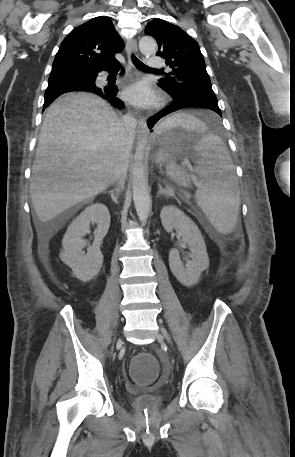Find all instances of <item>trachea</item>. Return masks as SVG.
<instances>
[{
    "label": "trachea",
    "mask_w": 295,
    "mask_h": 457,
    "mask_svg": "<svg viewBox=\"0 0 295 457\" xmlns=\"http://www.w3.org/2000/svg\"><path fill=\"white\" fill-rule=\"evenodd\" d=\"M134 65L140 70H151L148 66L142 63L134 54L131 55ZM117 70L119 68H116Z\"/></svg>",
    "instance_id": "obj_1"
}]
</instances>
